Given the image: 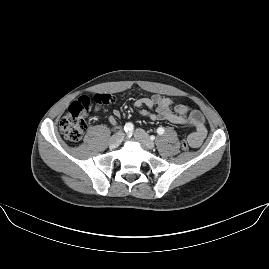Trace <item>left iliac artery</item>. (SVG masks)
I'll use <instances>...</instances> for the list:
<instances>
[{
	"label": "left iliac artery",
	"instance_id": "44dca946",
	"mask_svg": "<svg viewBox=\"0 0 269 269\" xmlns=\"http://www.w3.org/2000/svg\"><path fill=\"white\" fill-rule=\"evenodd\" d=\"M157 133H158L159 135H162V134L164 133V128H163V127H159V128L157 129Z\"/></svg>",
	"mask_w": 269,
	"mask_h": 269
}]
</instances>
